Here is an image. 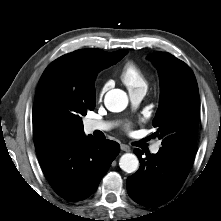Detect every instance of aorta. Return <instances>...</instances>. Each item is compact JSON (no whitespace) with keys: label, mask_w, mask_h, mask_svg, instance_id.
Returning <instances> with one entry per match:
<instances>
[{"label":"aorta","mask_w":221,"mask_h":221,"mask_svg":"<svg viewBox=\"0 0 221 221\" xmlns=\"http://www.w3.org/2000/svg\"><path fill=\"white\" fill-rule=\"evenodd\" d=\"M104 104L111 112H121L128 105V96L121 89H112L106 93ZM119 166L123 171L132 173L137 171L139 167V160L136 155L132 153H126L121 156L119 160Z\"/></svg>","instance_id":"obj_1"}]
</instances>
